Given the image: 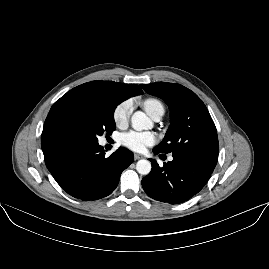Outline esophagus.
I'll list each match as a JSON object with an SVG mask.
<instances>
[{"label":"esophagus","mask_w":269,"mask_h":269,"mask_svg":"<svg viewBox=\"0 0 269 269\" xmlns=\"http://www.w3.org/2000/svg\"><path fill=\"white\" fill-rule=\"evenodd\" d=\"M143 156L141 154H134V160L142 159Z\"/></svg>","instance_id":"esophagus-1"}]
</instances>
